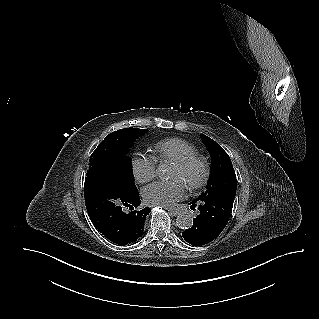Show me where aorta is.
<instances>
[{"label":"aorta","mask_w":319,"mask_h":319,"mask_svg":"<svg viewBox=\"0 0 319 319\" xmlns=\"http://www.w3.org/2000/svg\"><path fill=\"white\" fill-rule=\"evenodd\" d=\"M158 172L161 174V169H159ZM176 224L181 229H189L192 227L193 217L189 212H182L178 215Z\"/></svg>","instance_id":"aorta-1"}]
</instances>
